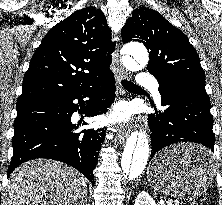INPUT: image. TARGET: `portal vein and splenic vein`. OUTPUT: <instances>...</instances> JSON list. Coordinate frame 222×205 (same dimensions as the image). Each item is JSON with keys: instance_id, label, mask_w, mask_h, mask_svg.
Segmentation results:
<instances>
[{"instance_id": "1", "label": "portal vein and splenic vein", "mask_w": 222, "mask_h": 205, "mask_svg": "<svg viewBox=\"0 0 222 205\" xmlns=\"http://www.w3.org/2000/svg\"><path fill=\"white\" fill-rule=\"evenodd\" d=\"M161 202L164 203V200H161ZM167 202H172V200H171V199H168Z\"/></svg>"}]
</instances>
